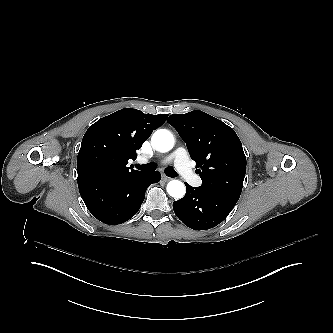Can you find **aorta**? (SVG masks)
Segmentation results:
<instances>
[{"instance_id":"762f6f07","label":"aorta","mask_w":333,"mask_h":333,"mask_svg":"<svg viewBox=\"0 0 333 333\" xmlns=\"http://www.w3.org/2000/svg\"><path fill=\"white\" fill-rule=\"evenodd\" d=\"M151 142L157 151L167 152L172 149L174 139L168 130L159 129L153 134ZM167 192L174 198H182L185 195V186L179 180H172L167 184Z\"/></svg>"}]
</instances>
